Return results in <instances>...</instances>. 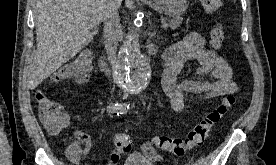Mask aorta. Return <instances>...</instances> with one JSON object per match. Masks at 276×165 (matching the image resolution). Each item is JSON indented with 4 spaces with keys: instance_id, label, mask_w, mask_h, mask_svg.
Segmentation results:
<instances>
[{
    "instance_id": "aorta-1",
    "label": "aorta",
    "mask_w": 276,
    "mask_h": 165,
    "mask_svg": "<svg viewBox=\"0 0 276 165\" xmlns=\"http://www.w3.org/2000/svg\"><path fill=\"white\" fill-rule=\"evenodd\" d=\"M118 77L121 85L130 91H139L146 83L149 64L143 58L134 36L123 43L118 60Z\"/></svg>"
}]
</instances>
